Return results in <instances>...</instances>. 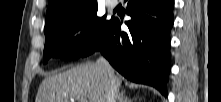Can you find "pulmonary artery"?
Masks as SVG:
<instances>
[{
	"label": "pulmonary artery",
	"instance_id": "obj_1",
	"mask_svg": "<svg viewBox=\"0 0 221 102\" xmlns=\"http://www.w3.org/2000/svg\"><path fill=\"white\" fill-rule=\"evenodd\" d=\"M117 0H107V4L109 7L114 8L117 5Z\"/></svg>",
	"mask_w": 221,
	"mask_h": 102
}]
</instances>
